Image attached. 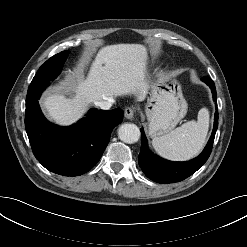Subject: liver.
<instances>
[{"instance_id": "1", "label": "liver", "mask_w": 247, "mask_h": 247, "mask_svg": "<svg viewBox=\"0 0 247 247\" xmlns=\"http://www.w3.org/2000/svg\"><path fill=\"white\" fill-rule=\"evenodd\" d=\"M83 69H80V73ZM147 73L146 47L141 44H116L102 47L87 74L69 85L66 97L58 90L47 93L42 106L55 123L68 126L78 121L90 104L133 94L144 99Z\"/></svg>"}]
</instances>
